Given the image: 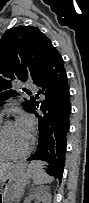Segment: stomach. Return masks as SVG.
Here are the masks:
<instances>
[{"mask_svg": "<svg viewBox=\"0 0 89 203\" xmlns=\"http://www.w3.org/2000/svg\"><path fill=\"white\" fill-rule=\"evenodd\" d=\"M29 178L27 170L22 171L15 165L9 166L1 182L4 203H15L22 196L24 185Z\"/></svg>", "mask_w": 89, "mask_h": 203, "instance_id": "obj_1", "label": "stomach"}]
</instances>
